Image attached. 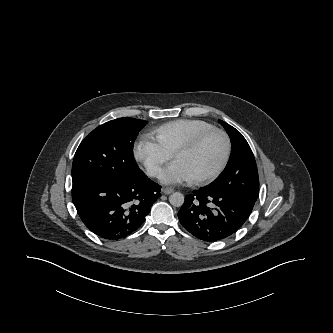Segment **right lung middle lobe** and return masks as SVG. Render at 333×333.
I'll list each match as a JSON object with an SVG mask.
<instances>
[{"mask_svg": "<svg viewBox=\"0 0 333 333\" xmlns=\"http://www.w3.org/2000/svg\"><path fill=\"white\" fill-rule=\"evenodd\" d=\"M147 122L118 118L94 129L79 145L72 165L73 184L95 178L127 181L137 172L134 140Z\"/></svg>", "mask_w": 333, "mask_h": 333, "instance_id": "right-lung-middle-lobe-1", "label": "right lung middle lobe"}]
</instances>
